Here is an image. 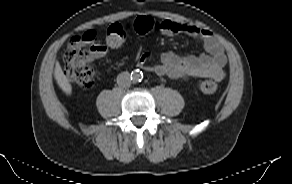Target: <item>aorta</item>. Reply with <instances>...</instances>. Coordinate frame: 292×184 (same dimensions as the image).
<instances>
[{
  "label": "aorta",
  "instance_id": "1",
  "mask_svg": "<svg viewBox=\"0 0 292 184\" xmlns=\"http://www.w3.org/2000/svg\"><path fill=\"white\" fill-rule=\"evenodd\" d=\"M142 77H143V75H142L141 72L134 71V72H132V74H131V80H132L133 82L141 81V80H142Z\"/></svg>",
  "mask_w": 292,
  "mask_h": 184
}]
</instances>
